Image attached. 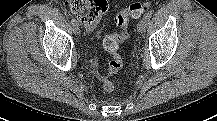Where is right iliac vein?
Wrapping results in <instances>:
<instances>
[{
    "mask_svg": "<svg viewBox=\"0 0 217 121\" xmlns=\"http://www.w3.org/2000/svg\"><path fill=\"white\" fill-rule=\"evenodd\" d=\"M72 26H73V31H74V33H75L76 35H78V34L80 33V29H79L78 23L73 24Z\"/></svg>",
    "mask_w": 217,
    "mask_h": 121,
    "instance_id": "63e3f726",
    "label": "right iliac vein"
}]
</instances>
